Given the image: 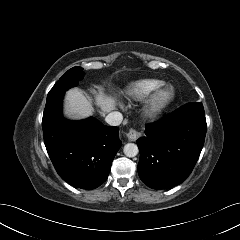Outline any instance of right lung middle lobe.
<instances>
[{"instance_id":"1","label":"right lung middle lobe","mask_w":240,"mask_h":240,"mask_svg":"<svg viewBox=\"0 0 240 240\" xmlns=\"http://www.w3.org/2000/svg\"><path fill=\"white\" fill-rule=\"evenodd\" d=\"M83 77V68L73 67L69 69L54 85V87L48 93V97L65 92L67 89L76 86L78 81Z\"/></svg>"}]
</instances>
